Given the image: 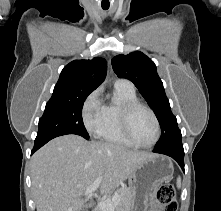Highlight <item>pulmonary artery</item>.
Wrapping results in <instances>:
<instances>
[{"mask_svg": "<svg viewBox=\"0 0 221 211\" xmlns=\"http://www.w3.org/2000/svg\"><path fill=\"white\" fill-rule=\"evenodd\" d=\"M115 86H122L127 88H134L133 84L127 79H117L115 81Z\"/></svg>", "mask_w": 221, "mask_h": 211, "instance_id": "1", "label": "pulmonary artery"}]
</instances>
